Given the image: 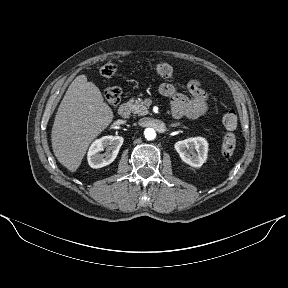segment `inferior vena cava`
<instances>
[{
	"label": "inferior vena cava",
	"instance_id": "1",
	"mask_svg": "<svg viewBox=\"0 0 288 288\" xmlns=\"http://www.w3.org/2000/svg\"><path fill=\"white\" fill-rule=\"evenodd\" d=\"M139 125L141 127H152L156 130H161L163 128V123L159 119L154 118H141L139 120Z\"/></svg>",
	"mask_w": 288,
	"mask_h": 288
}]
</instances>
